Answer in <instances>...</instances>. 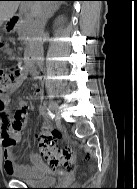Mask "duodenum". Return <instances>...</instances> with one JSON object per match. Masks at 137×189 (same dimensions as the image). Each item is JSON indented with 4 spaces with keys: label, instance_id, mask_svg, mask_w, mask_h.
Returning <instances> with one entry per match:
<instances>
[{
    "label": "duodenum",
    "instance_id": "1",
    "mask_svg": "<svg viewBox=\"0 0 137 189\" xmlns=\"http://www.w3.org/2000/svg\"><path fill=\"white\" fill-rule=\"evenodd\" d=\"M24 24V21L21 17H12L7 22V32L14 33L17 32L18 29H20ZM36 53L31 48L28 47V56L25 61L26 69L30 72V74L37 75V68L35 66V59H36Z\"/></svg>",
    "mask_w": 137,
    "mask_h": 189
}]
</instances>
